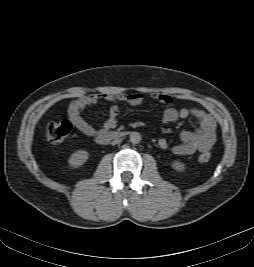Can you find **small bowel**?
I'll return each instance as SVG.
<instances>
[{"mask_svg":"<svg viewBox=\"0 0 254 267\" xmlns=\"http://www.w3.org/2000/svg\"><path fill=\"white\" fill-rule=\"evenodd\" d=\"M151 98L167 106L162 114L164 123H173L182 118H193L197 122V127L192 131H184L181 134L179 143L171 147V151L176 155H192L196 152H206L211 149L216 139V123L211 115L204 110L191 108L172 107L173 99L166 94H152ZM100 99L113 103L109 108V115L103 126L95 128L89 124L81 115V112L92 105H95ZM145 95L142 93H108L104 95H88L73 100L67 109V116L70 122L84 135L97 137L100 134L108 132L118 124L120 108L116 102H124L130 106H138L143 103ZM160 148H168V142L160 139L158 142Z\"/></svg>","mask_w":254,"mask_h":267,"instance_id":"small-bowel-1","label":"small bowel"}]
</instances>
